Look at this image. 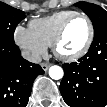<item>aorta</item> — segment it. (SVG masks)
<instances>
[{
    "instance_id": "obj_1",
    "label": "aorta",
    "mask_w": 107,
    "mask_h": 107,
    "mask_svg": "<svg viewBox=\"0 0 107 107\" xmlns=\"http://www.w3.org/2000/svg\"><path fill=\"white\" fill-rule=\"evenodd\" d=\"M64 75L63 69L60 66L54 65L49 68V76L54 80L62 79Z\"/></svg>"
}]
</instances>
